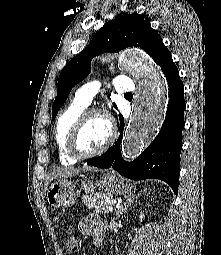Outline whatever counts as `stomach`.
Instances as JSON below:
<instances>
[{
  "instance_id": "stomach-1",
  "label": "stomach",
  "mask_w": 221,
  "mask_h": 255,
  "mask_svg": "<svg viewBox=\"0 0 221 255\" xmlns=\"http://www.w3.org/2000/svg\"><path fill=\"white\" fill-rule=\"evenodd\" d=\"M97 187L99 190L110 194L128 195L133 191V187L130 184L113 173L104 174L95 183L92 181H83L81 186L85 192V196L93 194ZM46 198L53 209L70 207L76 200L75 185L67 178L56 179L50 184Z\"/></svg>"
}]
</instances>
